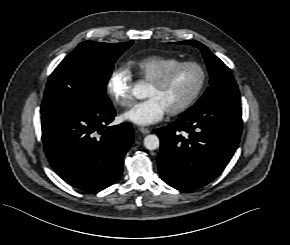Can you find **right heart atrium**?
<instances>
[{"label": "right heart atrium", "instance_id": "obj_1", "mask_svg": "<svg viewBox=\"0 0 290 245\" xmlns=\"http://www.w3.org/2000/svg\"><path fill=\"white\" fill-rule=\"evenodd\" d=\"M131 88L132 74L125 67L116 68L107 82V92L111 99L120 107L131 106L133 103Z\"/></svg>", "mask_w": 290, "mask_h": 245}]
</instances>
